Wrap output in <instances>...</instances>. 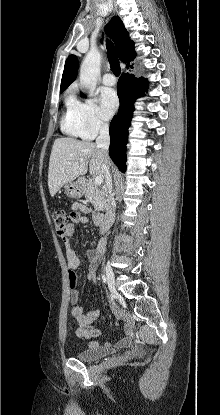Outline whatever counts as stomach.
<instances>
[{
    "label": "stomach",
    "instance_id": "stomach-1",
    "mask_svg": "<svg viewBox=\"0 0 220 415\" xmlns=\"http://www.w3.org/2000/svg\"><path fill=\"white\" fill-rule=\"evenodd\" d=\"M65 193L71 198H80L85 192V184L82 181L70 182L64 186Z\"/></svg>",
    "mask_w": 220,
    "mask_h": 415
}]
</instances>
